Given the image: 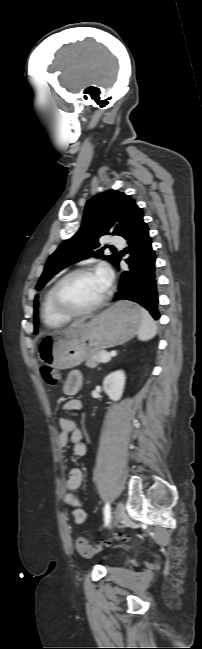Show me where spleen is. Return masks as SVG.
Masks as SVG:
<instances>
[{"label": "spleen", "mask_w": 202, "mask_h": 649, "mask_svg": "<svg viewBox=\"0 0 202 649\" xmlns=\"http://www.w3.org/2000/svg\"><path fill=\"white\" fill-rule=\"evenodd\" d=\"M141 316H142V320H141V325L139 327V330L137 332V336L139 340L146 341L153 338L156 335L157 327L148 311H146L145 309H141Z\"/></svg>", "instance_id": "spleen-1"}]
</instances>
